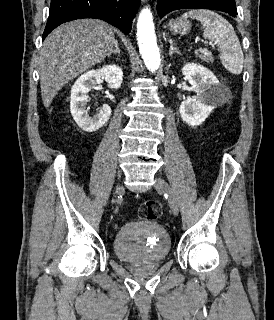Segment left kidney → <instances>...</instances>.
Listing matches in <instances>:
<instances>
[{
  "mask_svg": "<svg viewBox=\"0 0 274 320\" xmlns=\"http://www.w3.org/2000/svg\"><path fill=\"white\" fill-rule=\"evenodd\" d=\"M182 74L196 92L195 100L181 102L179 108L183 122L188 126H200L214 108L224 104L225 92L219 80L208 68L200 64H185Z\"/></svg>",
  "mask_w": 274,
  "mask_h": 320,
  "instance_id": "1",
  "label": "left kidney"
}]
</instances>
